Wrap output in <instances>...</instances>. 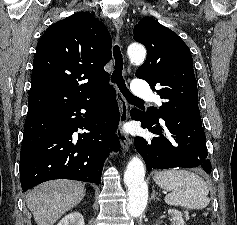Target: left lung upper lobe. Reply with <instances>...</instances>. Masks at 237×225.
Masks as SVG:
<instances>
[{"mask_svg": "<svg viewBox=\"0 0 237 225\" xmlns=\"http://www.w3.org/2000/svg\"><path fill=\"white\" fill-rule=\"evenodd\" d=\"M134 39L147 49L146 61L136 77L146 80L164 99L159 108H148L153 119L198 105L197 83L188 46L173 31L151 17H144L133 30Z\"/></svg>", "mask_w": 237, "mask_h": 225, "instance_id": "5c2ea615", "label": "left lung upper lobe"}]
</instances>
